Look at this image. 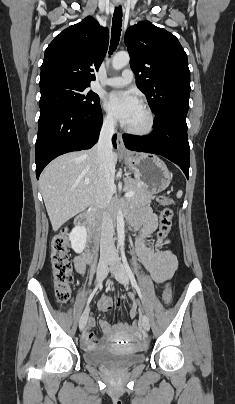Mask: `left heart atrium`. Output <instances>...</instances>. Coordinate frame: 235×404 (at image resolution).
<instances>
[{"mask_svg":"<svg viewBox=\"0 0 235 404\" xmlns=\"http://www.w3.org/2000/svg\"><path fill=\"white\" fill-rule=\"evenodd\" d=\"M104 105L118 120L127 124L140 107V101L133 93L114 91L106 96Z\"/></svg>","mask_w":235,"mask_h":404,"instance_id":"left-heart-atrium-1","label":"left heart atrium"}]
</instances>
